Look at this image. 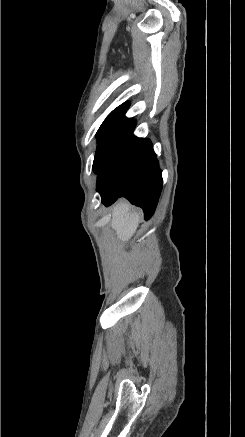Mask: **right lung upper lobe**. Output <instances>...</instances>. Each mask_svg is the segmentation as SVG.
<instances>
[{
	"label": "right lung upper lobe",
	"instance_id": "right-lung-upper-lobe-1",
	"mask_svg": "<svg viewBox=\"0 0 245 437\" xmlns=\"http://www.w3.org/2000/svg\"><path fill=\"white\" fill-rule=\"evenodd\" d=\"M129 105H130L129 102H125V103L121 104L119 107H126V108H128Z\"/></svg>",
	"mask_w": 245,
	"mask_h": 437
}]
</instances>
